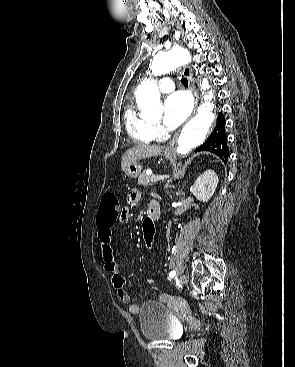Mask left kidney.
Wrapping results in <instances>:
<instances>
[{
	"label": "left kidney",
	"instance_id": "5707ae66",
	"mask_svg": "<svg viewBox=\"0 0 295 367\" xmlns=\"http://www.w3.org/2000/svg\"><path fill=\"white\" fill-rule=\"evenodd\" d=\"M219 179L214 170L203 172L191 187L193 195L202 202H207L214 194Z\"/></svg>",
	"mask_w": 295,
	"mask_h": 367
}]
</instances>
